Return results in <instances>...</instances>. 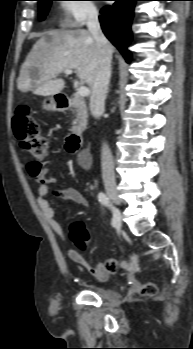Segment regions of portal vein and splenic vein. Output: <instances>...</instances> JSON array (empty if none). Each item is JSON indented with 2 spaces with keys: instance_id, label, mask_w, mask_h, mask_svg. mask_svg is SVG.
I'll use <instances>...</instances> for the list:
<instances>
[{
  "instance_id": "obj_1",
  "label": "portal vein and splenic vein",
  "mask_w": 193,
  "mask_h": 349,
  "mask_svg": "<svg viewBox=\"0 0 193 349\" xmlns=\"http://www.w3.org/2000/svg\"><path fill=\"white\" fill-rule=\"evenodd\" d=\"M64 73L66 74V75H70V74H72L73 73V70L72 69H68V70H65L64 71ZM78 94L80 95V96H87V95H89V89L86 87V86H80L79 88H78Z\"/></svg>"
}]
</instances>
